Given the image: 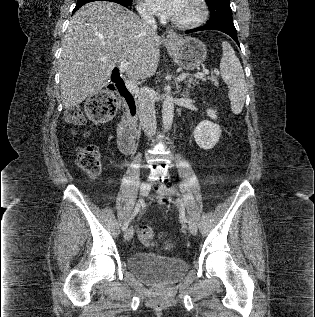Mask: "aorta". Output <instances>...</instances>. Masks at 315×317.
<instances>
[{"instance_id": "762f6f07", "label": "aorta", "mask_w": 315, "mask_h": 317, "mask_svg": "<svg viewBox=\"0 0 315 317\" xmlns=\"http://www.w3.org/2000/svg\"><path fill=\"white\" fill-rule=\"evenodd\" d=\"M174 118V103L173 97L170 91H167L164 95V101L162 106V122L165 130H170Z\"/></svg>"}]
</instances>
